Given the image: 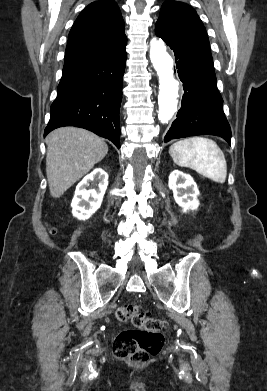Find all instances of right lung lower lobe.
Instances as JSON below:
<instances>
[{
    "mask_svg": "<svg viewBox=\"0 0 267 391\" xmlns=\"http://www.w3.org/2000/svg\"><path fill=\"white\" fill-rule=\"evenodd\" d=\"M125 47L63 69L44 136L63 126L85 128L120 147L119 111Z\"/></svg>",
    "mask_w": 267,
    "mask_h": 391,
    "instance_id": "obj_1",
    "label": "right lung lower lobe"
}]
</instances>
